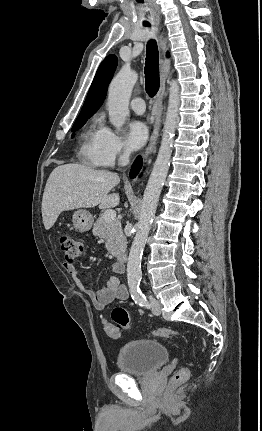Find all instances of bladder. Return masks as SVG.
Masks as SVG:
<instances>
[{"mask_svg":"<svg viewBox=\"0 0 262 431\" xmlns=\"http://www.w3.org/2000/svg\"><path fill=\"white\" fill-rule=\"evenodd\" d=\"M169 358L166 347L155 340L136 339L122 347L117 355L121 372L146 375L162 366Z\"/></svg>","mask_w":262,"mask_h":431,"instance_id":"1","label":"bladder"}]
</instances>
